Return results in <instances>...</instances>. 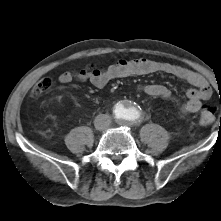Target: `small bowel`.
<instances>
[{
    "mask_svg": "<svg viewBox=\"0 0 221 221\" xmlns=\"http://www.w3.org/2000/svg\"><path fill=\"white\" fill-rule=\"evenodd\" d=\"M155 73L169 74L192 85V88L187 91V101L181 106L183 114L198 112L202 108L203 102L211 96L208 81L199 73L182 66L159 63L144 58L120 59L107 68L97 69L91 73L82 70H68L61 73L58 80L61 84H69L73 81H88L96 88H103L114 79ZM139 91L146 95L164 99L171 97L170 89L158 84L141 85Z\"/></svg>",
    "mask_w": 221,
    "mask_h": 221,
    "instance_id": "1",
    "label": "small bowel"
}]
</instances>
